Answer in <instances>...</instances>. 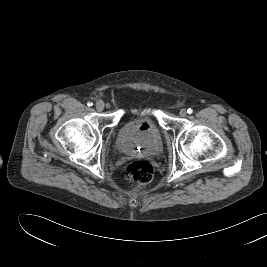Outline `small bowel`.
<instances>
[{
  "instance_id": "obj_1",
  "label": "small bowel",
  "mask_w": 267,
  "mask_h": 267,
  "mask_svg": "<svg viewBox=\"0 0 267 267\" xmlns=\"http://www.w3.org/2000/svg\"><path fill=\"white\" fill-rule=\"evenodd\" d=\"M149 127H150V125H149L148 122L143 121V122L139 123V128H140L141 130H148Z\"/></svg>"
}]
</instances>
